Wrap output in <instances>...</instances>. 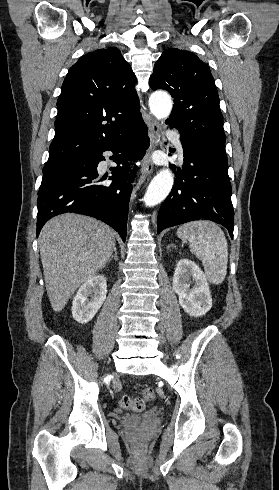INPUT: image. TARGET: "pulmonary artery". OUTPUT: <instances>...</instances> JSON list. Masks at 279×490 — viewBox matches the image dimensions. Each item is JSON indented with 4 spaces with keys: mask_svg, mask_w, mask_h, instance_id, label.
I'll list each match as a JSON object with an SVG mask.
<instances>
[{
    "mask_svg": "<svg viewBox=\"0 0 279 490\" xmlns=\"http://www.w3.org/2000/svg\"><path fill=\"white\" fill-rule=\"evenodd\" d=\"M168 134H169L171 137H174V136L177 134V131H176L174 128H171V129L168 131ZM179 151H180V153H182V148H181V145H179Z\"/></svg>",
    "mask_w": 279,
    "mask_h": 490,
    "instance_id": "1",
    "label": "pulmonary artery"
}]
</instances>
